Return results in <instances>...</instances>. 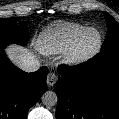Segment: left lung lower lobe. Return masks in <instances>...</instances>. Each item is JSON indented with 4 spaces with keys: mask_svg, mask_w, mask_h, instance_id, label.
<instances>
[{
    "mask_svg": "<svg viewBox=\"0 0 119 119\" xmlns=\"http://www.w3.org/2000/svg\"><path fill=\"white\" fill-rule=\"evenodd\" d=\"M58 70L56 119H119V56Z\"/></svg>",
    "mask_w": 119,
    "mask_h": 119,
    "instance_id": "0a47b994",
    "label": "left lung lower lobe"
}]
</instances>
